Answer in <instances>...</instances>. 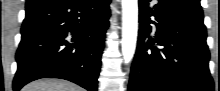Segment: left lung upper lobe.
Instances as JSON below:
<instances>
[{
    "label": "left lung upper lobe",
    "instance_id": "5c2ea615",
    "mask_svg": "<svg viewBox=\"0 0 220 91\" xmlns=\"http://www.w3.org/2000/svg\"><path fill=\"white\" fill-rule=\"evenodd\" d=\"M185 1L190 2V3H192V4L196 5V6L201 7L200 0H185Z\"/></svg>",
    "mask_w": 220,
    "mask_h": 91
}]
</instances>
